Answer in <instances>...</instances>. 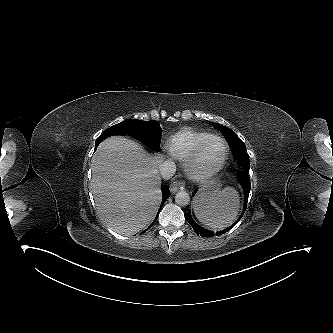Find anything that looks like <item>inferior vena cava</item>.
Masks as SVG:
<instances>
[{
  "mask_svg": "<svg viewBox=\"0 0 333 333\" xmlns=\"http://www.w3.org/2000/svg\"><path fill=\"white\" fill-rule=\"evenodd\" d=\"M176 172V165L171 160L163 161L159 165V173L161 177L165 180L170 179Z\"/></svg>",
  "mask_w": 333,
  "mask_h": 333,
  "instance_id": "1",
  "label": "inferior vena cava"
}]
</instances>
